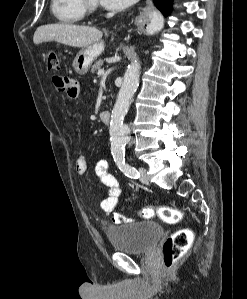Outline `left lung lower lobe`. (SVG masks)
<instances>
[{"label": "left lung lower lobe", "instance_id": "0a47b994", "mask_svg": "<svg viewBox=\"0 0 247 299\" xmlns=\"http://www.w3.org/2000/svg\"><path fill=\"white\" fill-rule=\"evenodd\" d=\"M156 7L167 16L172 9V0H154Z\"/></svg>", "mask_w": 247, "mask_h": 299}]
</instances>
